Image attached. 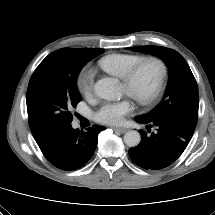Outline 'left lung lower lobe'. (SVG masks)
<instances>
[{
    "label": "left lung lower lobe",
    "instance_id": "obj_1",
    "mask_svg": "<svg viewBox=\"0 0 215 215\" xmlns=\"http://www.w3.org/2000/svg\"><path fill=\"white\" fill-rule=\"evenodd\" d=\"M138 123L146 124V129L155 127V132L148 135L140 130L141 142L129 149L132 161L144 169L159 170L172 164L185 150L194 130H190L178 121L135 117Z\"/></svg>",
    "mask_w": 215,
    "mask_h": 215
}]
</instances>
